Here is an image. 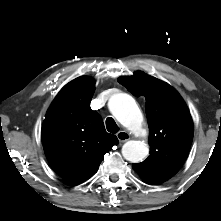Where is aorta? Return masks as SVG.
<instances>
[{
	"instance_id": "obj_1",
	"label": "aorta",
	"mask_w": 221,
	"mask_h": 221,
	"mask_svg": "<svg viewBox=\"0 0 221 221\" xmlns=\"http://www.w3.org/2000/svg\"><path fill=\"white\" fill-rule=\"evenodd\" d=\"M109 109L114 117L124 127L137 133L141 131L143 115L135 100L126 93L113 95L108 102ZM149 154V147L142 141H128L122 147L123 157L132 162L143 161Z\"/></svg>"
}]
</instances>
